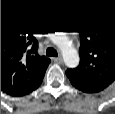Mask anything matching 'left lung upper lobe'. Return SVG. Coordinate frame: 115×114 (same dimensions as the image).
<instances>
[{
  "label": "left lung upper lobe",
  "mask_w": 115,
  "mask_h": 114,
  "mask_svg": "<svg viewBox=\"0 0 115 114\" xmlns=\"http://www.w3.org/2000/svg\"><path fill=\"white\" fill-rule=\"evenodd\" d=\"M77 31L80 64L66 75L80 83L109 86L115 80V18L87 20Z\"/></svg>",
  "instance_id": "obj_1"
}]
</instances>
